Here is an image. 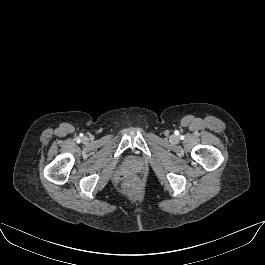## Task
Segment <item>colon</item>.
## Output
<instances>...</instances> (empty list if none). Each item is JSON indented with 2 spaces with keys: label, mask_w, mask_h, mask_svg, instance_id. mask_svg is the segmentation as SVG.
<instances>
[{
  "label": "colon",
  "mask_w": 265,
  "mask_h": 265,
  "mask_svg": "<svg viewBox=\"0 0 265 265\" xmlns=\"http://www.w3.org/2000/svg\"><path fill=\"white\" fill-rule=\"evenodd\" d=\"M128 188L133 190L135 188V185L134 184H129Z\"/></svg>",
  "instance_id": "1"
}]
</instances>
